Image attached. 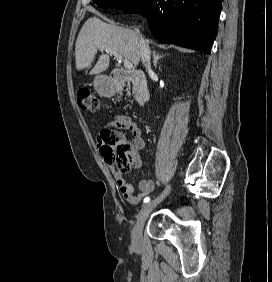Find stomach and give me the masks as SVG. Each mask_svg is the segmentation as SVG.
Instances as JSON below:
<instances>
[{"label":"stomach","instance_id":"obj_1","mask_svg":"<svg viewBox=\"0 0 272 282\" xmlns=\"http://www.w3.org/2000/svg\"><path fill=\"white\" fill-rule=\"evenodd\" d=\"M94 86L99 93L109 92V83L106 76L100 75L94 79Z\"/></svg>","mask_w":272,"mask_h":282}]
</instances>
